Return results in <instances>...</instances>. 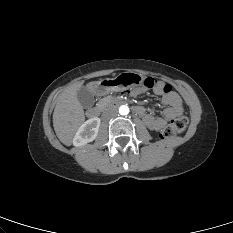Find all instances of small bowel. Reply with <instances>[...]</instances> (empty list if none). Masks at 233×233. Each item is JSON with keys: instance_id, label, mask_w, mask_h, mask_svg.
<instances>
[{"instance_id": "c3829d8e", "label": "small bowel", "mask_w": 233, "mask_h": 233, "mask_svg": "<svg viewBox=\"0 0 233 233\" xmlns=\"http://www.w3.org/2000/svg\"><path fill=\"white\" fill-rule=\"evenodd\" d=\"M140 91H135L134 94ZM153 92L156 95L162 96V102L167 107L163 110L160 116H154L152 114L146 113L144 108L137 107L135 109L136 113L143 117L145 124L153 130H160L163 128L169 120L179 116L183 112L182 100L179 95L172 91L163 92L162 89L157 86L153 88Z\"/></svg>"}]
</instances>
